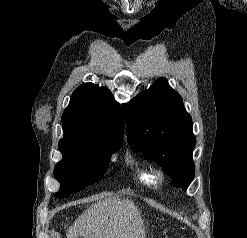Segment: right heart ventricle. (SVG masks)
Here are the masks:
<instances>
[{"label": "right heart ventricle", "mask_w": 247, "mask_h": 238, "mask_svg": "<svg viewBox=\"0 0 247 238\" xmlns=\"http://www.w3.org/2000/svg\"><path fill=\"white\" fill-rule=\"evenodd\" d=\"M135 173L137 178L145 183V184H151L153 182V175L151 170L146 166H137L135 168Z\"/></svg>", "instance_id": "e07e8e85"}]
</instances>
